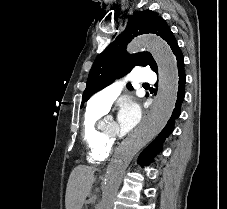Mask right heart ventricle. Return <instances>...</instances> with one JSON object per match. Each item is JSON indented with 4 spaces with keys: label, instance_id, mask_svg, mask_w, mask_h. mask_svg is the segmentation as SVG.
I'll use <instances>...</instances> for the list:
<instances>
[{
    "label": "right heart ventricle",
    "instance_id": "right-heart-ventricle-1",
    "mask_svg": "<svg viewBox=\"0 0 227 209\" xmlns=\"http://www.w3.org/2000/svg\"><path fill=\"white\" fill-rule=\"evenodd\" d=\"M107 109L90 106L81 122V138L86 146V159L94 165L104 164L112 152L111 144L107 143L100 134L99 121Z\"/></svg>",
    "mask_w": 227,
    "mask_h": 209
}]
</instances>
